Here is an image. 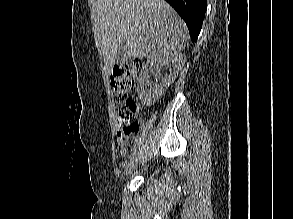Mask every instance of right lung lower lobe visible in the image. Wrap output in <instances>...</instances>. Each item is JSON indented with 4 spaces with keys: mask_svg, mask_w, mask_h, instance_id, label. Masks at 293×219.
<instances>
[{
    "mask_svg": "<svg viewBox=\"0 0 293 219\" xmlns=\"http://www.w3.org/2000/svg\"><path fill=\"white\" fill-rule=\"evenodd\" d=\"M185 21L190 36L196 41L206 12L207 0H166Z\"/></svg>",
    "mask_w": 293,
    "mask_h": 219,
    "instance_id": "1",
    "label": "right lung lower lobe"
}]
</instances>
